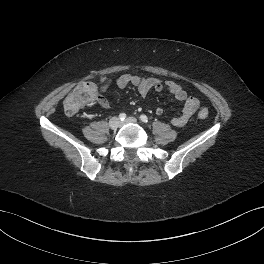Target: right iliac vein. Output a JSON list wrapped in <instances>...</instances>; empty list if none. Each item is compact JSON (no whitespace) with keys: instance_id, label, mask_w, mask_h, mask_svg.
I'll return each mask as SVG.
<instances>
[{"instance_id":"right-iliac-vein-1","label":"right iliac vein","mask_w":264,"mask_h":264,"mask_svg":"<svg viewBox=\"0 0 264 264\" xmlns=\"http://www.w3.org/2000/svg\"><path fill=\"white\" fill-rule=\"evenodd\" d=\"M119 126H120V121H119L118 118L113 117V118L110 119V121H109V127L111 129H117Z\"/></svg>"}]
</instances>
